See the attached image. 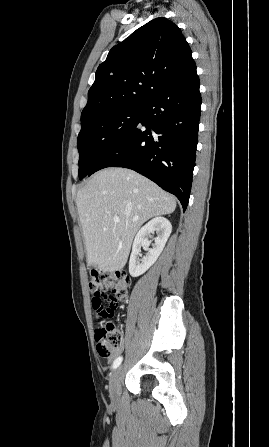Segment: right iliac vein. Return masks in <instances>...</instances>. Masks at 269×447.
Here are the masks:
<instances>
[{"instance_id":"right-iliac-vein-1","label":"right iliac vein","mask_w":269,"mask_h":447,"mask_svg":"<svg viewBox=\"0 0 269 447\" xmlns=\"http://www.w3.org/2000/svg\"><path fill=\"white\" fill-rule=\"evenodd\" d=\"M122 374L123 369L121 367H118L116 370H114L110 378L109 393L112 404H116L119 401Z\"/></svg>"}]
</instances>
